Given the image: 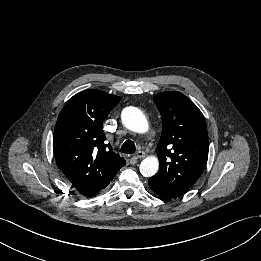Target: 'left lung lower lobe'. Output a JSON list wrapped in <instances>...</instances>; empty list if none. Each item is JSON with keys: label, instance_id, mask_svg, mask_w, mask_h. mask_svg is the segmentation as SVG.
I'll use <instances>...</instances> for the list:
<instances>
[{"label": "left lung lower lobe", "instance_id": "left-lung-lower-lobe-1", "mask_svg": "<svg viewBox=\"0 0 261 261\" xmlns=\"http://www.w3.org/2000/svg\"><path fill=\"white\" fill-rule=\"evenodd\" d=\"M148 183H149L151 190L161 197H165V198L177 197L176 195H174L171 192H169L168 190H166L160 183H158L153 178H149Z\"/></svg>", "mask_w": 261, "mask_h": 261}]
</instances>
